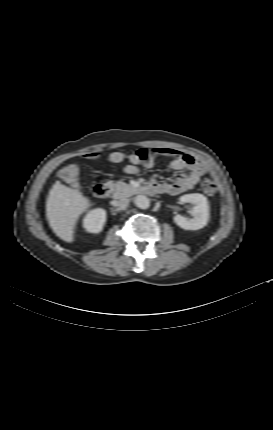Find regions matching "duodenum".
<instances>
[{"label":"duodenum","mask_w":273,"mask_h":430,"mask_svg":"<svg viewBox=\"0 0 273 430\" xmlns=\"http://www.w3.org/2000/svg\"><path fill=\"white\" fill-rule=\"evenodd\" d=\"M146 191H150L149 187L145 188ZM94 193L98 198H107L111 193V187L107 183H97L94 186Z\"/></svg>","instance_id":"obj_1"}]
</instances>
